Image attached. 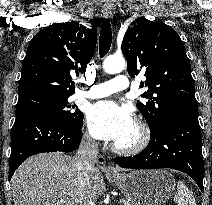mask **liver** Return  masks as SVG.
Returning <instances> with one entry per match:
<instances>
[{
  "instance_id": "obj_1",
  "label": "liver",
  "mask_w": 212,
  "mask_h": 205,
  "mask_svg": "<svg viewBox=\"0 0 212 205\" xmlns=\"http://www.w3.org/2000/svg\"><path fill=\"white\" fill-rule=\"evenodd\" d=\"M14 205H83L101 196L105 182L94 168L90 188L81 189L74 158L55 152L28 158L11 180Z\"/></svg>"
}]
</instances>
